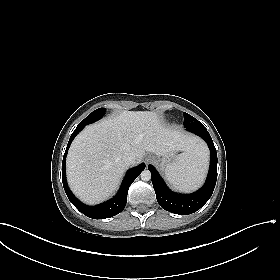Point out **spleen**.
I'll return each mask as SVG.
<instances>
[{
    "label": "spleen",
    "instance_id": "1",
    "mask_svg": "<svg viewBox=\"0 0 280 280\" xmlns=\"http://www.w3.org/2000/svg\"><path fill=\"white\" fill-rule=\"evenodd\" d=\"M207 168L208 152L202 149L193 155L181 154L166 168L165 176L175 189L190 192L203 183Z\"/></svg>",
    "mask_w": 280,
    "mask_h": 280
}]
</instances>
